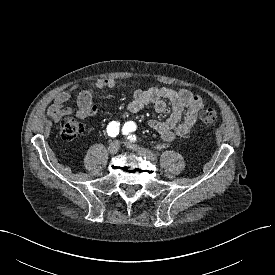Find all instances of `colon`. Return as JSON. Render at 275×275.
Instances as JSON below:
<instances>
[{"label": "colon", "mask_w": 275, "mask_h": 275, "mask_svg": "<svg viewBox=\"0 0 275 275\" xmlns=\"http://www.w3.org/2000/svg\"><path fill=\"white\" fill-rule=\"evenodd\" d=\"M200 120L205 126H212L218 121V112L214 108L203 109ZM61 136L65 140H72L82 132V125L73 117L66 116L60 125Z\"/></svg>", "instance_id": "1"}]
</instances>
